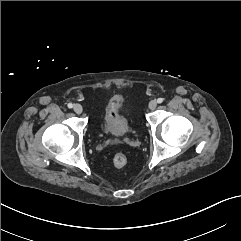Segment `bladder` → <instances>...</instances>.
I'll use <instances>...</instances> for the list:
<instances>
[{"mask_svg":"<svg viewBox=\"0 0 241 241\" xmlns=\"http://www.w3.org/2000/svg\"><path fill=\"white\" fill-rule=\"evenodd\" d=\"M103 133L116 138H124L132 134L133 128L130 120L123 110L122 99L112 97L100 123Z\"/></svg>","mask_w":241,"mask_h":241,"instance_id":"31cf9c89","label":"bladder"}]
</instances>
